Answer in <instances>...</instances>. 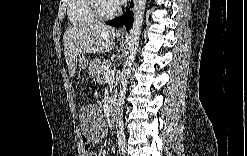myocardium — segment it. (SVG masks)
<instances>
[{
    "mask_svg": "<svg viewBox=\"0 0 247 156\" xmlns=\"http://www.w3.org/2000/svg\"><path fill=\"white\" fill-rule=\"evenodd\" d=\"M101 0H93L90 2V11L97 21H107L117 17L121 9L118 5H115L112 11L104 13L101 10Z\"/></svg>",
    "mask_w": 247,
    "mask_h": 156,
    "instance_id": "myocardium-1",
    "label": "myocardium"
}]
</instances>
